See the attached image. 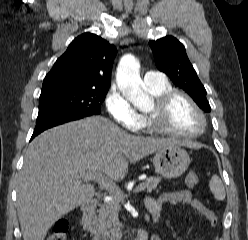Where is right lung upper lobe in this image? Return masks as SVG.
Returning <instances> with one entry per match:
<instances>
[{
  "mask_svg": "<svg viewBox=\"0 0 248 240\" xmlns=\"http://www.w3.org/2000/svg\"><path fill=\"white\" fill-rule=\"evenodd\" d=\"M115 54V47L95 34L78 36L45 76L41 93L62 88L108 90Z\"/></svg>",
  "mask_w": 248,
  "mask_h": 240,
  "instance_id": "right-lung-upper-lobe-1",
  "label": "right lung upper lobe"
}]
</instances>
